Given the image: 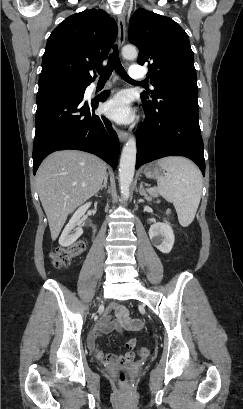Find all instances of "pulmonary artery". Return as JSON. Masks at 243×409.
Wrapping results in <instances>:
<instances>
[{"label":"pulmonary artery","instance_id":"1","mask_svg":"<svg viewBox=\"0 0 243 409\" xmlns=\"http://www.w3.org/2000/svg\"><path fill=\"white\" fill-rule=\"evenodd\" d=\"M130 76L133 79H142L143 76H144V72L142 70L138 69V67H134L130 71ZM94 87H95V84H92L91 88H94Z\"/></svg>","mask_w":243,"mask_h":409}]
</instances>
